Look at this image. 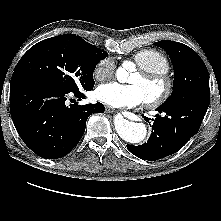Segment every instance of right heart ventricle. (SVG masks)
<instances>
[{
    "mask_svg": "<svg viewBox=\"0 0 221 221\" xmlns=\"http://www.w3.org/2000/svg\"><path fill=\"white\" fill-rule=\"evenodd\" d=\"M135 64L148 71L168 72L170 62L168 58L156 49H143L133 55Z\"/></svg>",
    "mask_w": 221,
    "mask_h": 221,
    "instance_id": "right-heart-ventricle-1",
    "label": "right heart ventricle"
}]
</instances>
